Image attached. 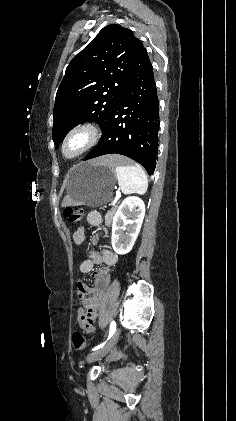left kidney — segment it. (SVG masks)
<instances>
[{
  "mask_svg": "<svg viewBox=\"0 0 236 421\" xmlns=\"http://www.w3.org/2000/svg\"><path fill=\"white\" fill-rule=\"evenodd\" d=\"M145 204L139 196H127L113 217L112 247L117 255L130 253L142 227ZM126 231V233H124Z\"/></svg>",
  "mask_w": 236,
  "mask_h": 421,
  "instance_id": "1",
  "label": "left kidney"
}]
</instances>
